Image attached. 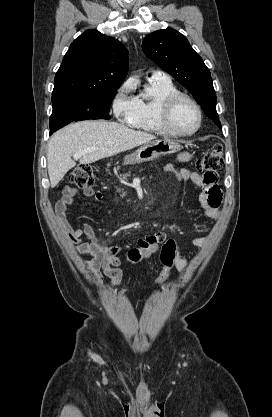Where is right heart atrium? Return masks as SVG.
Here are the masks:
<instances>
[{
	"label": "right heart atrium",
	"instance_id": "1",
	"mask_svg": "<svg viewBox=\"0 0 272 417\" xmlns=\"http://www.w3.org/2000/svg\"><path fill=\"white\" fill-rule=\"evenodd\" d=\"M132 84L124 82L116 91L112 99V111L114 116L122 121L129 123L135 111V99L131 97Z\"/></svg>",
	"mask_w": 272,
	"mask_h": 417
}]
</instances>
